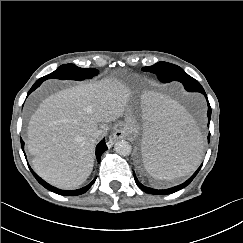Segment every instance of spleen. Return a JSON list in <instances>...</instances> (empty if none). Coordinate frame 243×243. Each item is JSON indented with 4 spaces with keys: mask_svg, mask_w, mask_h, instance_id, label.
<instances>
[{
    "mask_svg": "<svg viewBox=\"0 0 243 243\" xmlns=\"http://www.w3.org/2000/svg\"><path fill=\"white\" fill-rule=\"evenodd\" d=\"M140 158L157 180H172L196 169L204 141L194 119L175 101L154 93L142 97Z\"/></svg>",
    "mask_w": 243,
    "mask_h": 243,
    "instance_id": "obj_1",
    "label": "spleen"
}]
</instances>
